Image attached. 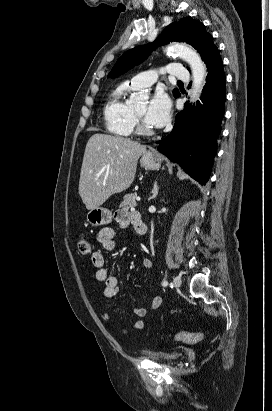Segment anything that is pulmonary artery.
Instances as JSON below:
<instances>
[{"mask_svg":"<svg viewBox=\"0 0 272 411\" xmlns=\"http://www.w3.org/2000/svg\"><path fill=\"white\" fill-rule=\"evenodd\" d=\"M167 73L179 80L188 81L190 79V74L187 69H185L181 64L175 63L171 64ZM158 78V75L154 71H146L134 76L128 83L134 89H144L153 85Z\"/></svg>","mask_w":272,"mask_h":411,"instance_id":"1","label":"pulmonary artery"}]
</instances>
